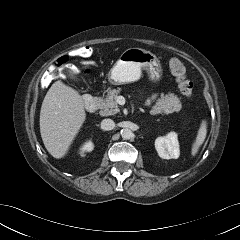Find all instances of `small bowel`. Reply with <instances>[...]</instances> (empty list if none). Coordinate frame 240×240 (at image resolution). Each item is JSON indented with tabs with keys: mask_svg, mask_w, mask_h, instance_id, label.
I'll return each instance as SVG.
<instances>
[{
	"mask_svg": "<svg viewBox=\"0 0 240 240\" xmlns=\"http://www.w3.org/2000/svg\"><path fill=\"white\" fill-rule=\"evenodd\" d=\"M57 66L55 64L51 65L45 73L47 79H52L57 76ZM155 99V96H152L148 101L147 104H150Z\"/></svg>",
	"mask_w": 240,
	"mask_h": 240,
	"instance_id": "obj_1",
	"label": "small bowel"
}]
</instances>
